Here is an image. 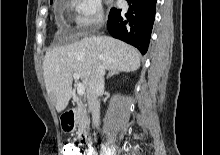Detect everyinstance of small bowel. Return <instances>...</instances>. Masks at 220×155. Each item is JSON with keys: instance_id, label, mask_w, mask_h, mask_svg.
Wrapping results in <instances>:
<instances>
[{"instance_id": "small-bowel-1", "label": "small bowel", "mask_w": 220, "mask_h": 155, "mask_svg": "<svg viewBox=\"0 0 220 155\" xmlns=\"http://www.w3.org/2000/svg\"><path fill=\"white\" fill-rule=\"evenodd\" d=\"M77 144H78V145H85V144H86V141H85V140H78V141H77Z\"/></svg>"}]
</instances>
